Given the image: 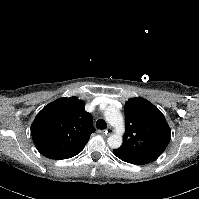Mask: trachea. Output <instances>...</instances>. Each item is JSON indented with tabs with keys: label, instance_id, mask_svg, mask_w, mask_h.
<instances>
[{
	"label": "trachea",
	"instance_id": "3493384b",
	"mask_svg": "<svg viewBox=\"0 0 199 199\" xmlns=\"http://www.w3.org/2000/svg\"><path fill=\"white\" fill-rule=\"evenodd\" d=\"M96 125L98 129H106L107 127V124L103 119L97 120Z\"/></svg>",
	"mask_w": 199,
	"mask_h": 199
}]
</instances>
